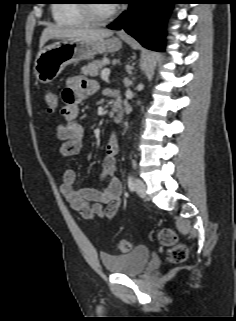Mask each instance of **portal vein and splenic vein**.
I'll use <instances>...</instances> for the list:
<instances>
[{
	"label": "portal vein and splenic vein",
	"instance_id": "portal-vein-and-splenic-vein-1",
	"mask_svg": "<svg viewBox=\"0 0 236 321\" xmlns=\"http://www.w3.org/2000/svg\"><path fill=\"white\" fill-rule=\"evenodd\" d=\"M110 75V69H103L101 72V78L107 80Z\"/></svg>",
	"mask_w": 236,
	"mask_h": 321
}]
</instances>
